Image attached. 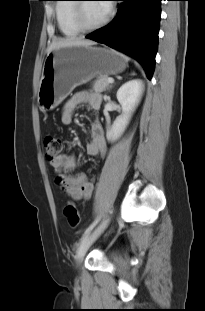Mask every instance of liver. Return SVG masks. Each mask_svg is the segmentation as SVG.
Here are the masks:
<instances>
[{"label":"liver","instance_id":"liver-1","mask_svg":"<svg viewBox=\"0 0 205 311\" xmlns=\"http://www.w3.org/2000/svg\"><path fill=\"white\" fill-rule=\"evenodd\" d=\"M96 42L84 38H65V39H58L54 40L51 45L47 49V53L49 54L55 49H59L62 47H68V46H75V45H82V46H91L95 45Z\"/></svg>","mask_w":205,"mask_h":311}]
</instances>
